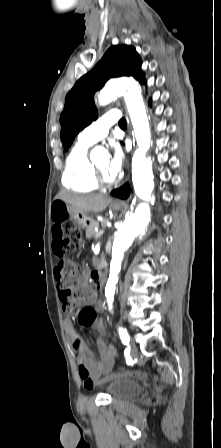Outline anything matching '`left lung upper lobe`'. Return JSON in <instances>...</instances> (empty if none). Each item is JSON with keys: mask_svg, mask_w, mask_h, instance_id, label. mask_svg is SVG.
Instances as JSON below:
<instances>
[{"mask_svg": "<svg viewBox=\"0 0 221 448\" xmlns=\"http://www.w3.org/2000/svg\"><path fill=\"white\" fill-rule=\"evenodd\" d=\"M132 76L146 82L141 71V60L135 48L127 45L110 47L99 63L81 77L66 96L65 108L60 116L61 140L65 151L75 136L93 120L98 112L93 96L111 77Z\"/></svg>", "mask_w": 221, "mask_h": 448, "instance_id": "5c2ea615", "label": "left lung upper lobe"}]
</instances>
